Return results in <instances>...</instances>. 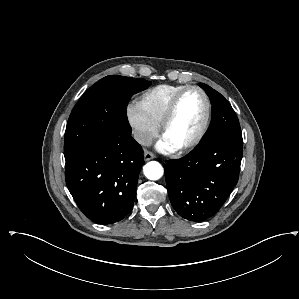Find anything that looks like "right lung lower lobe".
Here are the masks:
<instances>
[{"mask_svg":"<svg viewBox=\"0 0 299 299\" xmlns=\"http://www.w3.org/2000/svg\"><path fill=\"white\" fill-rule=\"evenodd\" d=\"M143 164V150L130 133L105 136L66 160V184L88 218L112 224L132 210Z\"/></svg>","mask_w":299,"mask_h":299,"instance_id":"right-lung-lower-lobe-1","label":"right lung lower lobe"}]
</instances>
